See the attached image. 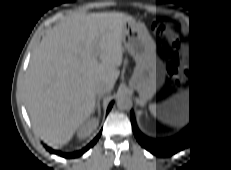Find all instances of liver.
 Listing matches in <instances>:
<instances>
[{"mask_svg":"<svg viewBox=\"0 0 231 170\" xmlns=\"http://www.w3.org/2000/svg\"><path fill=\"white\" fill-rule=\"evenodd\" d=\"M132 21L126 14L80 10L63 17L43 38L26 73L24 91L34 133L48 146L66 144L88 119L97 83L114 84L123 29Z\"/></svg>","mask_w":231,"mask_h":170,"instance_id":"liver-1","label":"liver"}]
</instances>
